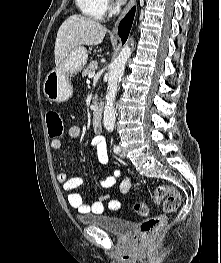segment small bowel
I'll list each match as a JSON object with an SVG mask.
<instances>
[{"mask_svg": "<svg viewBox=\"0 0 221 263\" xmlns=\"http://www.w3.org/2000/svg\"><path fill=\"white\" fill-rule=\"evenodd\" d=\"M81 129L77 125H72L68 128V135L71 138H77L80 136ZM91 146L96 154L97 160L101 165H106L109 161V155L107 146L102 136L96 135L91 140ZM51 148L53 150H59L61 148V141L54 139L51 141ZM121 171L115 170L111 176H100L99 185L102 188H111L117 178L120 176ZM57 181L62 185V189L67 193V200L71 207L78 210L81 214L93 213L101 214L104 210V202L108 201V207L110 209H118L120 207V201L113 197H101L91 204H87L83 201L82 196L75 192V189L83 184V180L80 177H69L66 173H59L57 175ZM131 187L130 178H126L122 181L120 190L122 193H127Z\"/></svg>", "mask_w": 221, "mask_h": 263, "instance_id": "obj_1", "label": "small bowel"}]
</instances>
